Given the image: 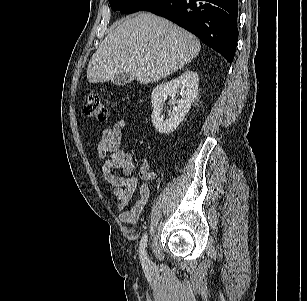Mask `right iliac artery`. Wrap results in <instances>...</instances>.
I'll list each match as a JSON object with an SVG mask.
<instances>
[{"label": "right iliac artery", "instance_id": "82829eb1", "mask_svg": "<svg viewBox=\"0 0 307 301\" xmlns=\"http://www.w3.org/2000/svg\"><path fill=\"white\" fill-rule=\"evenodd\" d=\"M146 246H147V234H145L139 245V255H140V260L142 264L146 265L149 263V258L147 257V252H146Z\"/></svg>", "mask_w": 307, "mask_h": 301}]
</instances>
